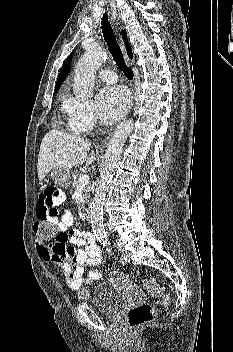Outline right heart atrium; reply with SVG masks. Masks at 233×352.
<instances>
[{
  "mask_svg": "<svg viewBox=\"0 0 233 352\" xmlns=\"http://www.w3.org/2000/svg\"><path fill=\"white\" fill-rule=\"evenodd\" d=\"M63 107L69 118V126L73 131L85 133L96 124L94 109L89 102L67 96L64 99Z\"/></svg>",
  "mask_w": 233,
  "mask_h": 352,
  "instance_id": "obj_1",
  "label": "right heart atrium"
}]
</instances>
